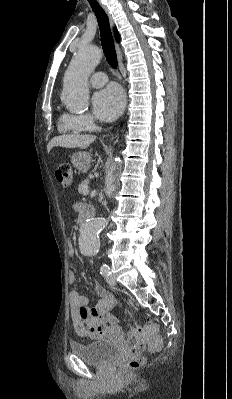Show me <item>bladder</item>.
<instances>
[{
	"label": "bladder",
	"mask_w": 232,
	"mask_h": 399,
	"mask_svg": "<svg viewBox=\"0 0 232 399\" xmlns=\"http://www.w3.org/2000/svg\"><path fill=\"white\" fill-rule=\"evenodd\" d=\"M70 350L73 354L95 365H103L118 357L121 348L109 341L98 340L91 343L72 342Z\"/></svg>",
	"instance_id": "31cf9c89"
}]
</instances>
